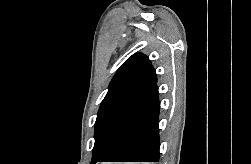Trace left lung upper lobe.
<instances>
[{
  "mask_svg": "<svg viewBox=\"0 0 251 164\" xmlns=\"http://www.w3.org/2000/svg\"><path fill=\"white\" fill-rule=\"evenodd\" d=\"M156 83L157 75L147 56L135 53L121 65L110 82L97 114L90 164L107 159L126 114Z\"/></svg>",
  "mask_w": 251,
  "mask_h": 164,
  "instance_id": "5c2ea615",
  "label": "left lung upper lobe"
}]
</instances>
